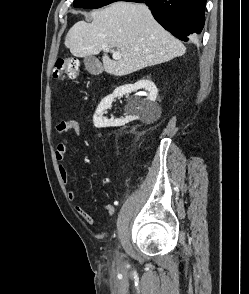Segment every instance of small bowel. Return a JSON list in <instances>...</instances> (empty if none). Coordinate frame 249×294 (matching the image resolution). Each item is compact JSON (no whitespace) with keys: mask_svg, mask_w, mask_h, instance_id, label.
I'll return each instance as SVG.
<instances>
[{"mask_svg":"<svg viewBox=\"0 0 249 294\" xmlns=\"http://www.w3.org/2000/svg\"><path fill=\"white\" fill-rule=\"evenodd\" d=\"M57 131L61 134L65 133L64 138L57 144L55 150V158L59 162V173L62 181L66 184H70V178L68 171L63 163L66 152L70 143V139L75 136H79L81 134V126L75 120H60L57 124ZM68 198L71 201H74L77 198V194L74 190H68ZM118 205V201H114L113 203L104 204L102 206V210L107 214L109 218H111L115 213V207ZM75 211L84 218L87 224H94V217L87 212L82 206L76 205Z\"/></svg>","mask_w":249,"mask_h":294,"instance_id":"small-bowel-1","label":"small bowel"}]
</instances>
